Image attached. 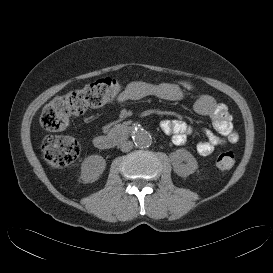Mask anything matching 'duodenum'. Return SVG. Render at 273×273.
Returning a JSON list of instances; mask_svg holds the SVG:
<instances>
[{"label":"duodenum","mask_w":273,"mask_h":273,"mask_svg":"<svg viewBox=\"0 0 273 273\" xmlns=\"http://www.w3.org/2000/svg\"><path fill=\"white\" fill-rule=\"evenodd\" d=\"M129 127L122 125L112 130L108 134L98 135L94 137L93 144L98 149H111L116 147L118 144L124 142L128 137Z\"/></svg>","instance_id":"1"}]
</instances>
